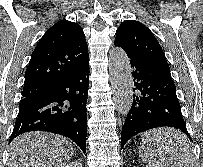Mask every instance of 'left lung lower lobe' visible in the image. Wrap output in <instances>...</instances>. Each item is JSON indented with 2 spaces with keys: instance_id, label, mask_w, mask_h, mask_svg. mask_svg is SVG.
<instances>
[{
  "instance_id": "0a47b994",
  "label": "left lung lower lobe",
  "mask_w": 203,
  "mask_h": 167,
  "mask_svg": "<svg viewBox=\"0 0 203 167\" xmlns=\"http://www.w3.org/2000/svg\"><path fill=\"white\" fill-rule=\"evenodd\" d=\"M117 46V45H116ZM134 77L133 103L122 128L121 145L134 135L156 127H174L192 141L184 122L170 70L127 53ZM183 153L184 146H173Z\"/></svg>"
}]
</instances>
